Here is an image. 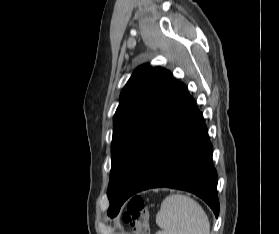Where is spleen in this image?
Listing matches in <instances>:
<instances>
[{
    "label": "spleen",
    "mask_w": 279,
    "mask_h": 234,
    "mask_svg": "<svg viewBox=\"0 0 279 234\" xmlns=\"http://www.w3.org/2000/svg\"><path fill=\"white\" fill-rule=\"evenodd\" d=\"M156 223L161 228L156 234H210V223L203 208L181 194L169 195L163 200Z\"/></svg>",
    "instance_id": "obj_1"
}]
</instances>
